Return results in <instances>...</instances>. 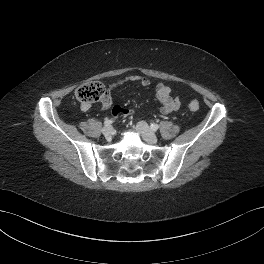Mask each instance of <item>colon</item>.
I'll list each match as a JSON object with an SVG mask.
<instances>
[{
	"label": "colon",
	"mask_w": 264,
	"mask_h": 264,
	"mask_svg": "<svg viewBox=\"0 0 264 264\" xmlns=\"http://www.w3.org/2000/svg\"><path fill=\"white\" fill-rule=\"evenodd\" d=\"M76 99L82 105H91L95 102L102 101L106 96L105 86L98 81H91L80 86L75 92ZM191 111L199 110V103L195 100L189 103Z\"/></svg>",
	"instance_id": "1"
}]
</instances>
